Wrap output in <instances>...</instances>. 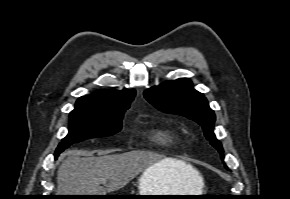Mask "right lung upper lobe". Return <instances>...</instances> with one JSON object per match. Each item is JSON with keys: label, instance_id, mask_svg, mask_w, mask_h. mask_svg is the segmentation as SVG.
Segmentation results:
<instances>
[{"label": "right lung upper lobe", "instance_id": "right-lung-upper-lobe-1", "mask_svg": "<svg viewBox=\"0 0 290 199\" xmlns=\"http://www.w3.org/2000/svg\"><path fill=\"white\" fill-rule=\"evenodd\" d=\"M134 89L98 90L93 95L80 97L74 111H85L92 113H117L125 112L134 99Z\"/></svg>", "mask_w": 290, "mask_h": 199}]
</instances>
